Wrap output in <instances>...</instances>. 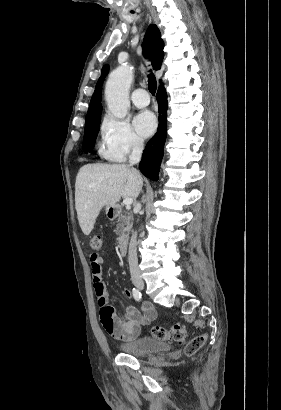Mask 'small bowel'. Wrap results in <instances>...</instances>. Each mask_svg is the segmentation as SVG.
<instances>
[{
	"mask_svg": "<svg viewBox=\"0 0 281 410\" xmlns=\"http://www.w3.org/2000/svg\"><path fill=\"white\" fill-rule=\"evenodd\" d=\"M102 264L103 259L98 254H92L90 256L91 273L94 283V291L97 298V304L101 310V322L103 323V310H111L112 315L110 320L112 322V328L106 329V331L117 340L133 341L135 340L142 327L149 325L157 317V312L153 305L144 304L142 306V313L137 311L133 307H128L126 310L125 319H119L114 312V309L109 306V297L107 288L102 278ZM123 295L126 298L133 296V291L129 289L123 290Z\"/></svg>",
	"mask_w": 281,
	"mask_h": 410,
	"instance_id": "c3829d8e",
	"label": "small bowel"
}]
</instances>
